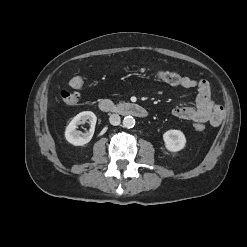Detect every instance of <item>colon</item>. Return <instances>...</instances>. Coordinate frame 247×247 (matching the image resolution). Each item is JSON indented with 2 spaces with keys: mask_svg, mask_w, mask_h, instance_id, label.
<instances>
[{
  "mask_svg": "<svg viewBox=\"0 0 247 247\" xmlns=\"http://www.w3.org/2000/svg\"><path fill=\"white\" fill-rule=\"evenodd\" d=\"M155 75L161 81L173 86L179 85L182 80V77L178 73L171 71L159 70L155 72ZM70 86L73 90L62 91L61 99L65 104L75 106L80 102V94L77 90L83 88L84 79L79 75L74 76L70 81ZM192 127L197 132H201L205 129V125L200 122H195Z\"/></svg>",
  "mask_w": 247,
  "mask_h": 247,
  "instance_id": "obj_1",
  "label": "colon"
}]
</instances>
